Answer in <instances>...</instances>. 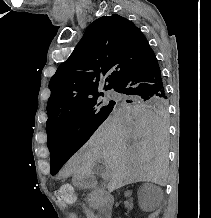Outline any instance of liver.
<instances>
[{"mask_svg": "<svg viewBox=\"0 0 211 218\" xmlns=\"http://www.w3.org/2000/svg\"><path fill=\"white\" fill-rule=\"evenodd\" d=\"M131 138L134 142H130ZM101 160L111 168L115 188L135 182L166 186L167 128L150 110L118 108L67 162L64 172L81 178L92 174L93 166Z\"/></svg>", "mask_w": 211, "mask_h": 218, "instance_id": "6515ba94", "label": "liver"}]
</instances>
